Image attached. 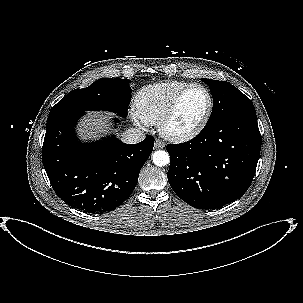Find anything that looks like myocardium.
Instances as JSON below:
<instances>
[{"instance_id": "1", "label": "myocardium", "mask_w": 303, "mask_h": 303, "mask_svg": "<svg viewBox=\"0 0 303 303\" xmlns=\"http://www.w3.org/2000/svg\"><path fill=\"white\" fill-rule=\"evenodd\" d=\"M193 88L202 89L207 96L208 103H207V108H206L203 116L201 117L199 122L189 130L182 131V132H176V131L170 130L169 124H170L171 120L173 119V117L175 116L183 98ZM212 111H213V97H212L210 90L202 84L191 83L177 94V96L171 102L169 107L162 114V116L160 117V119L158 121V130H159L160 134L168 140H171L174 142L189 141V140L193 139L194 137H196L198 134H200L201 131L205 128V126L207 125V123L211 117Z\"/></svg>"}]
</instances>
